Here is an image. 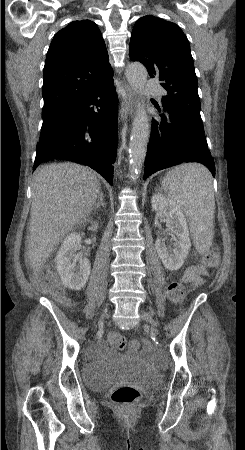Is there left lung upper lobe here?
Returning a JSON list of instances; mask_svg holds the SVG:
<instances>
[{"label":"left lung upper lobe","instance_id":"left-lung-upper-lobe-1","mask_svg":"<svg viewBox=\"0 0 245 450\" xmlns=\"http://www.w3.org/2000/svg\"><path fill=\"white\" fill-rule=\"evenodd\" d=\"M130 58L145 65L168 95L164 110H179L203 131L197 77L187 37L178 25L154 16L138 19L130 39Z\"/></svg>","mask_w":245,"mask_h":450}]
</instances>
